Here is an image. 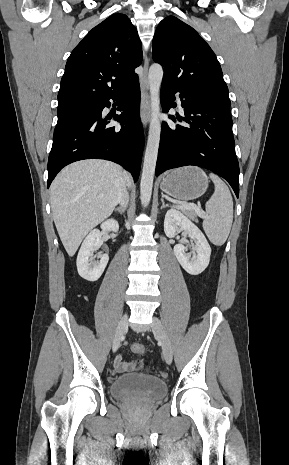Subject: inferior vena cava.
Here are the masks:
<instances>
[{"label":"inferior vena cava","mask_w":289,"mask_h":465,"mask_svg":"<svg viewBox=\"0 0 289 465\" xmlns=\"http://www.w3.org/2000/svg\"><path fill=\"white\" fill-rule=\"evenodd\" d=\"M129 201V195L126 188V183L124 181L121 182L118 194H117V203L120 204V208L126 209Z\"/></svg>","instance_id":"602c4592"}]
</instances>
